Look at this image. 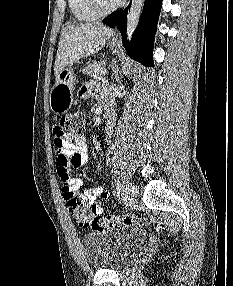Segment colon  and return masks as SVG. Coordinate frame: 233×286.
Instances as JSON below:
<instances>
[{
	"label": "colon",
	"instance_id": "colon-1",
	"mask_svg": "<svg viewBox=\"0 0 233 286\" xmlns=\"http://www.w3.org/2000/svg\"><path fill=\"white\" fill-rule=\"evenodd\" d=\"M85 115L81 111H74L64 115L60 124L56 126L60 134L80 136L84 130ZM66 204L69 211L86 227L95 233L123 228L135 222L134 216H108L102 217L95 208L86 206L80 198L73 193L66 195Z\"/></svg>",
	"mask_w": 233,
	"mask_h": 286
}]
</instances>
